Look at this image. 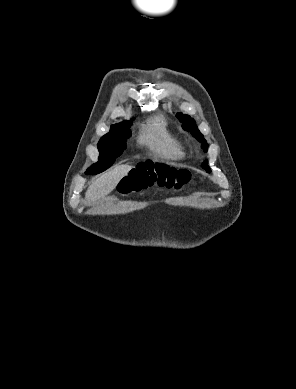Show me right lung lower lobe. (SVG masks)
<instances>
[{
  "label": "right lung lower lobe",
  "instance_id": "98d812e1",
  "mask_svg": "<svg viewBox=\"0 0 296 389\" xmlns=\"http://www.w3.org/2000/svg\"><path fill=\"white\" fill-rule=\"evenodd\" d=\"M87 173H90V174H95L94 172H92L91 170L88 169Z\"/></svg>",
  "mask_w": 296,
  "mask_h": 389
}]
</instances>
